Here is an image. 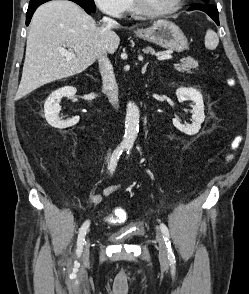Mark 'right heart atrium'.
Wrapping results in <instances>:
<instances>
[{
    "label": "right heart atrium",
    "instance_id": "obj_1",
    "mask_svg": "<svg viewBox=\"0 0 249 294\" xmlns=\"http://www.w3.org/2000/svg\"><path fill=\"white\" fill-rule=\"evenodd\" d=\"M129 0H94L95 5L113 17H122L127 11Z\"/></svg>",
    "mask_w": 249,
    "mask_h": 294
}]
</instances>
